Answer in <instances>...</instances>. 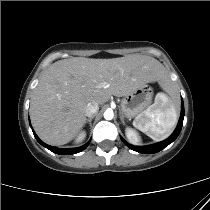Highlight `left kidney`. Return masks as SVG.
Returning a JSON list of instances; mask_svg holds the SVG:
<instances>
[{"label": "left kidney", "instance_id": "left-kidney-1", "mask_svg": "<svg viewBox=\"0 0 210 210\" xmlns=\"http://www.w3.org/2000/svg\"><path fill=\"white\" fill-rule=\"evenodd\" d=\"M125 135L128 138V140L133 144H138L140 142V138L135 130L132 128L127 127L125 129Z\"/></svg>", "mask_w": 210, "mask_h": 210}]
</instances>
